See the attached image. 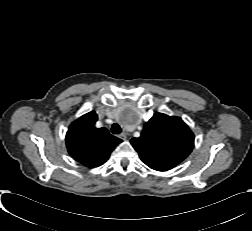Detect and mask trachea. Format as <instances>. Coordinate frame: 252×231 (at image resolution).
<instances>
[{
	"label": "trachea",
	"instance_id": "1",
	"mask_svg": "<svg viewBox=\"0 0 252 231\" xmlns=\"http://www.w3.org/2000/svg\"><path fill=\"white\" fill-rule=\"evenodd\" d=\"M122 131L121 127L117 124V123H114L111 127V132L113 134H120Z\"/></svg>",
	"mask_w": 252,
	"mask_h": 231
}]
</instances>
